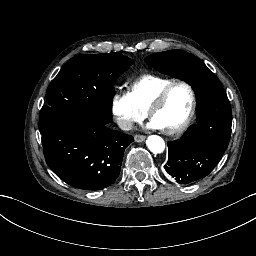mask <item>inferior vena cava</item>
Segmentation results:
<instances>
[{
  "mask_svg": "<svg viewBox=\"0 0 256 256\" xmlns=\"http://www.w3.org/2000/svg\"><path fill=\"white\" fill-rule=\"evenodd\" d=\"M116 123H117L118 127L123 131L132 130V123L129 120L124 119L123 117H118L116 119Z\"/></svg>",
  "mask_w": 256,
  "mask_h": 256,
  "instance_id": "1",
  "label": "inferior vena cava"
}]
</instances>
